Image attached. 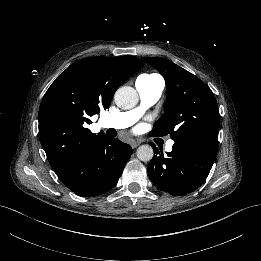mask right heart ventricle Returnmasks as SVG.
<instances>
[{
  "label": "right heart ventricle",
  "mask_w": 261,
  "mask_h": 261,
  "mask_svg": "<svg viewBox=\"0 0 261 261\" xmlns=\"http://www.w3.org/2000/svg\"><path fill=\"white\" fill-rule=\"evenodd\" d=\"M158 81H161L164 83L163 78L157 74V73H153V72H149V73H143L140 74L136 80V84H152V83H156Z\"/></svg>",
  "instance_id": "1"
}]
</instances>
